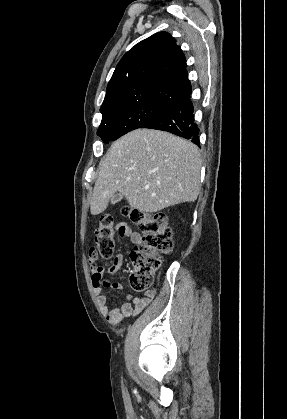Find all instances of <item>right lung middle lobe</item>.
I'll return each instance as SVG.
<instances>
[{"label": "right lung middle lobe", "mask_w": 287, "mask_h": 419, "mask_svg": "<svg viewBox=\"0 0 287 419\" xmlns=\"http://www.w3.org/2000/svg\"><path fill=\"white\" fill-rule=\"evenodd\" d=\"M165 107L161 103H137L105 113L97 135L106 143L114 141L129 131L140 128Z\"/></svg>", "instance_id": "dd1d6c3e"}]
</instances>
